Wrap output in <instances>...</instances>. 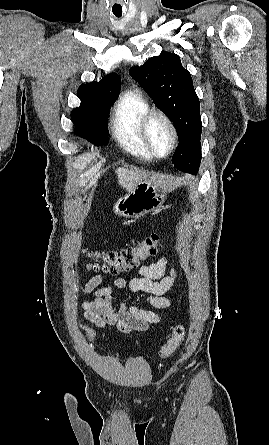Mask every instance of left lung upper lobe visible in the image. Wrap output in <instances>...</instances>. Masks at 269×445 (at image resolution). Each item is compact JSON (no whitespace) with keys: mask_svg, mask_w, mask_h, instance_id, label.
Listing matches in <instances>:
<instances>
[{"mask_svg":"<svg viewBox=\"0 0 269 445\" xmlns=\"http://www.w3.org/2000/svg\"><path fill=\"white\" fill-rule=\"evenodd\" d=\"M129 74L175 125L179 144L172 157L174 167L196 172L201 162L200 102L191 74L183 68L180 57L163 52L142 66L132 67Z\"/></svg>","mask_w":269,"mask_h":445,"instance_id":"obj_1","label":"left lung upper lobe"}]
</instances>
